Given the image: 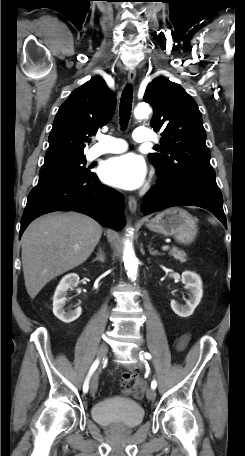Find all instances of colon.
<instances>
[{
	"mask_svg": "<svg viewBox=\"0 0 245 456\" xmlns=\"http://www.w3.org/2000/svg\"><path fill=\"white\" fill-rule=\"evenodd\" d=\"M139 375L137 372H129L122 375L121 385L124 390H131L137 387Z\"/></svg>",
	"mask_w": 245,
	"mask_h": 456,
	"instance_id": "1",
	"label": "colon"
}]
</instances>
